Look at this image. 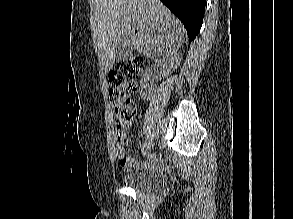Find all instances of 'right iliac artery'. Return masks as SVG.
I'll use <instances>...</instances> for the list:
<instances>
[{"instance_id":"right-iliac-artery-1","label":"right iliac artery","mask_w":293,"mask_h":219,"mask_svg":"<svg viewBox=\"0 0 293 219\" xmlns=\"http://www.w3.org/2000/svg\"><path fill=\"white\" fill-rule=\"evenodd\" d=\"M149 141H150V137L147 136L146 139H145V142H144V144H143V147H144Z\"/></svg>"}]
</instances>
